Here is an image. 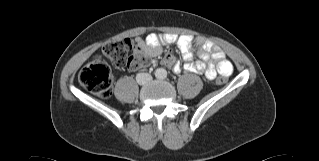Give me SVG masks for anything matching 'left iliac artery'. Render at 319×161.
<instances>
[{
	"label": "left iliac artery",
	"mask_w": 319,
	"mask_h": 161,
	"mask_svg": "<svg viewBox=\"0 0 319 161\" xmlns=\"http://www.w3.org/2000/svg\"><path fill=\"white\" fill-rule=\"evenodd\" d=\"M166 77H167L166 72H163V73L161 74V78L165 79Z\"/></svg>",
	"instance_id": "44dca946"
}]
</instances>
